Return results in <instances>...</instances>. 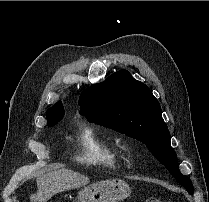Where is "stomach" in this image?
<instances>
[{
    "label": "stomach",
    "instance_id": "0dacf381",
    "mask_svg": "<svg viewBox=\"0 0 209 202\" xmlns=\"http://www.w3.org/2000/svg\"><path fill=\"white\" fill-rule=\"evenodd\" d=\"M129 185L118 179L93 183L81 189L78 202H119L130 196Z\"/></svg>",
    "mask_w": 209,
    "mask_h": 202
}]
</instances>
